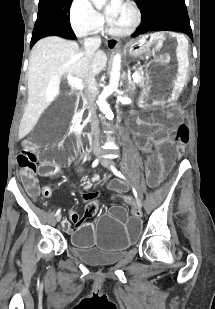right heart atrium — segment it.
<instances>
[{
	"instance_id": "d8ad5b80",
	"label": "right heart atrium",
	"mask_w": 215,
	"mask_h": 309,
	"mask_svg": "<svg viewBox=\"0 0 215 309\" xmlns=\"http://www.w3.org/2000/svg\"><path fill=\"white\" fill-rule=\"evenodd\" d=\"M89 5V0H73L70 29H73L77 36H87L94 29H100L101 15Z\"/></svg>"
}]
</instances>
